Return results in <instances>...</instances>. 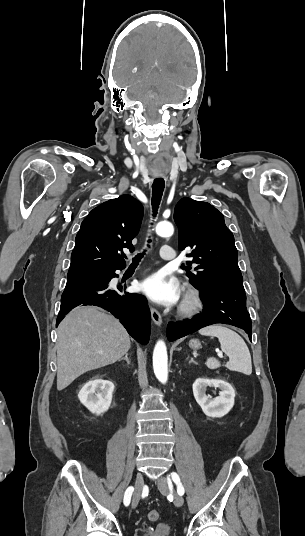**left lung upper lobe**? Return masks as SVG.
I'll return each mask as SVG.
<instances>
[{
    "instance_id": "5c2ea615",
    "label": "left lung upper lobe",
    "mask_w": 305,
    "mask_h": 536,
    "mask_svg": "<svg viewBox=\"0 0 305 536\" xmlns=\"http://www.w3.org/2000/svg\"><path fill=\"white\" fill-rule=\"evenodd\" d=\"M174 220L179 229V249H193L187 255L191 258L187 264H198L194 272L186 270L194 286L201 290L244 289L234 236L216 208L206 202L182 198L175 207Z\"/></svg>"
}]
</instances>
